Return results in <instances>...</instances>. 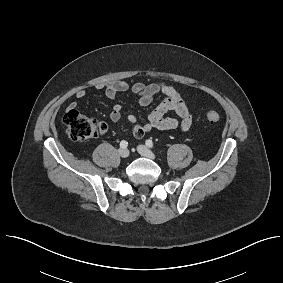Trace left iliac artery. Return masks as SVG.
<instances>
[{
	"instance_id": "44dca946",
	"label": "left iliac artery",
	"mask_w": 283,
	"mask_h": 283,
	"mask_svg": "<svg viewBox=\"0 0 283 283\" xmlns=\"http://www.w3.org/2000/svg\"><path fill=\"white\" fill-rule=\"evenodd\" d=\"M145 144H146L149 148H152V147H153V142H152V140H150V139L146 140Z\"/></svg>"
}]
</instances>
